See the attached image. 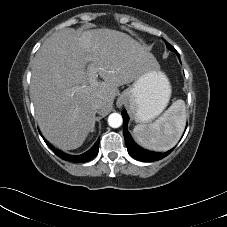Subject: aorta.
<instances>
[{
    "instance_id": "aorta-1",
    "label": "aorta",
    "mask_w": 227,
    "mask_h": 227,
    "mask_svg": "<svg viewBox=\"0 0 227 227\" xmlns=\"http://www.w3.org/2000/svg\"><path fill=\"white\" fill-rule=\"evenodd\" d=\"M122 116L119 113H112L108 117V124L112 128H118L122 125Z\"/></svg>"
}]
</instances>
